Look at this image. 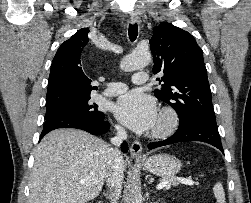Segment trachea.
<instances>
[{
    "label": "trachea",
    "mask_w": 251,
    "mask_h": 203,
    "mask_svg": "<svg viewBox=\"0 0 251 203\" xmlns=\"http://www.w3.org/2000/svg\"><path fill=\"white\" fill-rule=\"evenodd\" d=\"M128 32H129V39L131 41H135L136 38H137V35H138V25H137V23L129 24Z\"/></svg>",
    "instance_id": "1"
}]
</instances>
